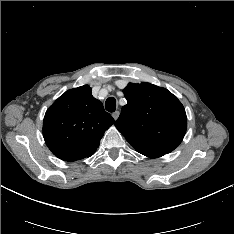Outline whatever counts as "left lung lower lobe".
<instances>
[{"label":"left lung lower lobe","instance_id":"left-lung-lower-lobe-1","mask_svg":"<svg viewBox=\"0 0 234 234\" xmlns=\"http://www.w3.org/2000/svg\"><path fill=\"white\" fill-rule=\"evenodd\" d=\"M144 155L151 157V158H157V157L163 156L164 154H144Z\"/></svg>","mask_w":234,"mask_h":234}]
</instances>
